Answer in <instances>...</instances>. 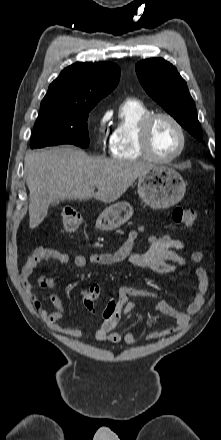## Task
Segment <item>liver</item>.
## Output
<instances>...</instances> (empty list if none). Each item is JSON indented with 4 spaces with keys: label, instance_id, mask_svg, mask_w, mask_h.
<instances>
[{
    "label": "liver",
    "instance_id": "6515ba94",
    "mask_svg": "<svg viewBox=\"0 0 221 440\" xmlns=\"http://www.w3.org/2000/svg\"><path fill=\"white\" fill-rule=\"evenodd\" d=\"M152 167L145 162L90 157L69 146L29 152L24 159L30 191L29 227L33 229L42 223L55 200L94 197L104 203L114 202Z\"/></svg>",
    "mask_w": 221,
    "mask_h": 440
}]
</instances>
